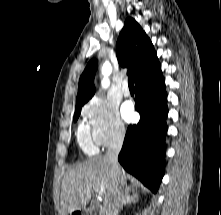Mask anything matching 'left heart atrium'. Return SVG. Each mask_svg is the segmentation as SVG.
Here are the masks:
<instances>
[{
    "mask_svg": "<svg viewBox=\"0 0 221 215\" xmlns=\"http://www.w3.org/2000/svg\"><path fill=\"white\" fill-rule=\"evenodd\" d=\"M122 114L126 120H131L134 116L133 108L129 103H126L122 108Z\"/></svg>",
    "mask_w": 221,
    "mask_h": 215,
    "instance_id": "obj_1",
    "label": "left heart atrium"
}]
</instances>
